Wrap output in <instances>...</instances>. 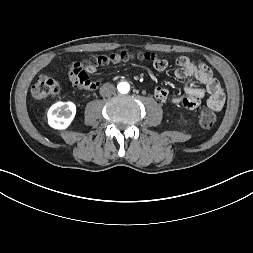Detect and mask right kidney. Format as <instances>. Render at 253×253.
Here are the masks:
<instances>
[{
  "instance_id": "right-kidney-1",
  "label": "right kidney",
  "mask_w": 253,
  "mask_h": 253,
  "mask_svg": "<svg viewBox=\"0 0 253 253\" xmlns=\"http://www.w3.org/2000/svg\"><path fill=\"white\" fill-rule=\"evenodd\" d=\"M76 114V106L73 102H57L53 104L48 113V123L55 129H66Z\"/></svg>"
}]
</instances>
